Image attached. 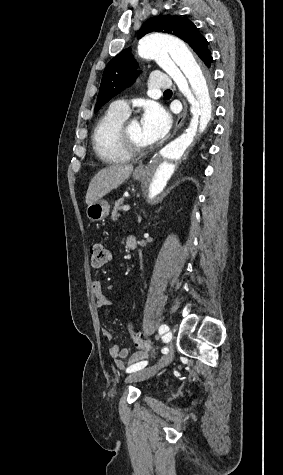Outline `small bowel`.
<instances>
[{
    "instance_id": "1",
    "label": "small bowel",
    "mask_w": 283,
    "mask_h": 475,
    "mask_svg": "<svg viewBox=\"0 0 283 475\" xmlns=\"http://www.w3.org/2000/svg\"><path fill=\"white\" fill-rule=\"evenodd\" d=\"M128 241V237L126 240V244ZM128 246V244H127ZM91 290L96 298V305L98 308H102L108 304H110V299L105 295L103 286L100 280L94 279L91 283ZM134 333V332H133ZM103 336L111 343L109 347V354L115 360L118 367H123V359L127 358V354L129 353L128 348L120 346L113 334L108 329H103ZM139 362H128L129 366H133Z\"/></svg>"
}]
</instances>
